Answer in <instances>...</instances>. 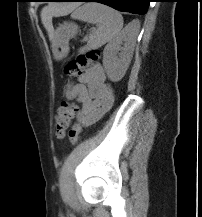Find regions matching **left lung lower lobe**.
<instances>
[{
    "mask_svg": "<svg viewBox=\"0 0 202 217\" xmlns=\"http://www.w3.org/2000/svg\"><path fill=\"white\" fill-rule=\"evenodd\" d=\"M56 2H99L119 11L145 14L151 0H53Z\"/></svg>",
    "mask_w": 202,
    "mask_h": 217,
    "instance_id": "1",
    "label": "left lung lower lobe"
}]
</instances>
